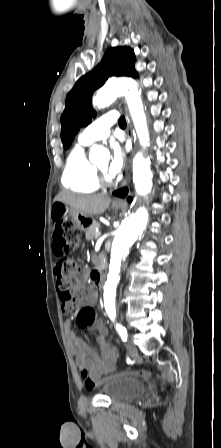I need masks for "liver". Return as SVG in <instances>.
<instances>
[{
	"instance_id": "obj_1",
	"label": "liver",
	"mask_w": 221,
	"mask_h": 448,
	"mask_svg": "<svg viewBox=\"0 0 221 448\" xmlns=\"http://www.w3.org/2000/svg\"><path fill=\"white\" fill-rule=\"evenodd\" d=\"M54 201L61 202L86 215H98L106 211L111 203V198L103 194L77 196L62 192L55 197Z\"/></svg>"
}]
</instances>
